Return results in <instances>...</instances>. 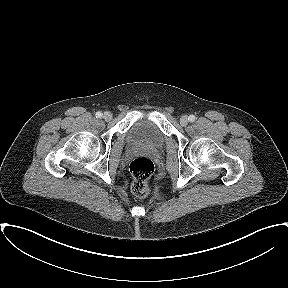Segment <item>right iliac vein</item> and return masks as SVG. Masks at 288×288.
<instances>
[{"label": "right iliac vein", "mask_w": 288, "mask_h": 288, "mask_svg": "<svg viewBox=\"0 0 288 288\" xmlns=\"http://www.w3.org/2000/svg\"><path fill=\"white\" fill-rule=\"evenodd\" d=\"M103 118L105 121H110L112 119V114L110 112H105Z\"/></svg>", "instance_id": "right-iliac-vein-1"}]
</instances>
